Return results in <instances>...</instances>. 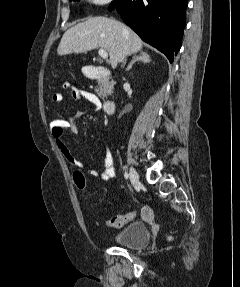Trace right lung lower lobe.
Masks as SVG:
<instances>
[{"label":"right lung lower lobe","instance_id":"98d812e1","mask_svg":"<svg viewBox=\"0 0 240 287\" xmlns=\"http://www.w3.org/2000/svg\"><path fill=\"white\" fill-rule=\"evenodd\" d=\"M188 0H114L125 24L172 62L182 43Z\"/></svg>","mask_w":240,"mask_h":287}]
</instances>
